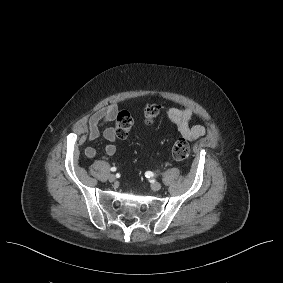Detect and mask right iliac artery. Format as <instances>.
<instances>
[{"label": "right iliac artery", "instance_id": "82829eb1", "mask_svg": "<svg viewBox=\"0 0 283 283\" xmlns=\"http://www.w3.org/2000/svg\"><path fill=\"white\" fill-rule=\"evenodd\" d=\"M110 170H111L112 172H114V171H116V167H112Z\"/></svg>", "mask_w": 283, "mask_h": 283}]
</instances>
